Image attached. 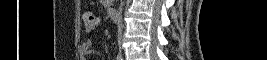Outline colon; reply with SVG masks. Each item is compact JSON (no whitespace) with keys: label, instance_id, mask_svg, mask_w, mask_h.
Masks as SVG:
<instances>
[{"label":"colon","instance_id":"colon-1","mask_svg":"<svg viewBox=\"0 0 267 60\" xmlns=\"http://www.w3.org/2000/svg\"><path fill=\"white\" fill-rule=\"evenodd\" d=\"M82 20H83V30L87 33L93 32L100 25L99 18L89 12L84 13Z\"/></svg>","mask_w":267,"mask_h":60}]
</instances>
